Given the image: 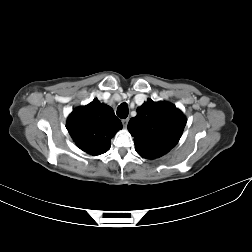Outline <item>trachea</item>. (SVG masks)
Masks as SVG:
<instances>
[{"mask_svg": "<svg viewBox=\"0 0 252 252\" xmlns=\"http://www.w3.org/2000/svg\"><path fill=\"white\" fill-rule=\"evenodd\" d=\"M117 116L121 119H125L128 116V106L126 103H122L117 108Z\"/></svg>", "mask_w": 252, "mask_h": 252, "instance_id": "3493384b", "label": "trachea"}]
</instances>
